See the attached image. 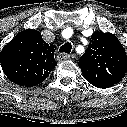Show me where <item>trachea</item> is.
<instances>
[{
  "instance_id": "1",
  "label": "trachea",
  "mask_w": 127,
  "mask_h": 127,
  "mask_svg": "<svg viewBox=\"0 0 127 127\" xmlns=\"http://www.w3.org/2000/svg\"><path fill=\"white\" fill-rule=\"evenodd\" d=\"M71 50H72V45L71 43L67 42L60 47L59 52H64V53L69 54Z\"/></svg>"
}]
</instances>
